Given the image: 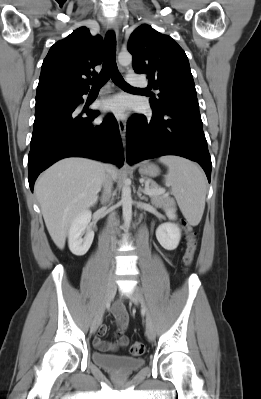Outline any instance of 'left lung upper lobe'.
Returning a JSON list of instances; mask_svg holds the SVG:
<instances>
[{
	"mask_svg": "<svg viewBox=\"0 0 261 399\" xmlns=\"http://www.w3.org/2000/svg\"><path fill=\"white\" fill-rule=\"evenodd\" d=\"M128 51L135 72L147 74L149 87L160 91L150 100L154 111L180 104L199 106L188 58L170 36L143 24L131 34Z\"/></svg>",
	"mask_w": 261,
	"mask_h": 399,
	"instance_id": "5c2ea615",
	"label": "left lung upper lobe"
}]
</instances>
